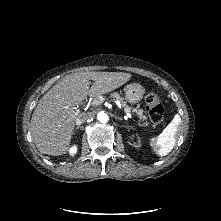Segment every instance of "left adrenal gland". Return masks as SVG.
Masks as SVG:
<instances>
[{
    "label": "left adrenal gland",
    "mask_w": 221,
    "mask_h": 221,
    "mask_svg": "<svg viewBox=\"0 0 221 221\" xmlns=\"http://www.w3.org/2000/svg\"><path fill=\"white\" fill-rule=\"evenodd\" d=\"M117 119H118V120H123V119H122V118H120V117H118Z\"/></svg>",
    "instance_id": "left-adrenal-gland-1"
}]
</instances>
